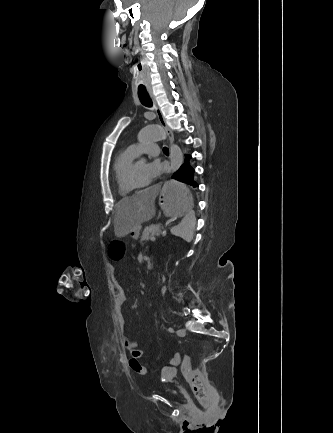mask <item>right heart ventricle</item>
<instances>
[{
  "label": "right heart ventricle",
  "instance_id": "e07e8e85",
  "mask_svg": "<svg viewBox=\"0 0 333 433\" xmlns=\"http://www.w3.org/2000/svg\"><path fill=\"white\" fill-rule=\"evenodd\" d=\"M135 156L136 155L127 148L118 154L114 162V182L118 193L123 197L131 192V189L124 184L123 177L127 167L133 162Z\"/></svg>",
  "mask_w": 333,
  "mask_h": 433
}]
</instances>
